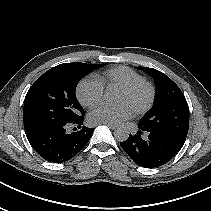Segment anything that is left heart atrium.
<instances>
[{
    "instance_id": "left-heart-atrium-1",
    "label": "left heart atrium",
    "mask_w": 211,
    "mask_h": 211,
    "mask_svg": "<svg viewBox=\"0 0 211 211\" xmlns=\"http://www.w3.org/2000/svg\"><path fill=\"white\" fill-rule=\"evenodd\" d=\"M132 115V108L126 104L109 106L101 104L89 113V121L94 124H117Z\"/></svg>"
}]
</instances>
